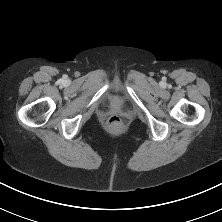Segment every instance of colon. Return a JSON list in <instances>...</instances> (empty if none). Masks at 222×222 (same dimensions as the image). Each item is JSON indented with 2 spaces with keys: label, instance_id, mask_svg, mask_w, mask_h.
Listing matches in <instances>:
<instances>
[{
  "label": "colon",
  "instance_id": "obj_1",
  "mask_svg": "<svg viewBox=\"0 0 222 222\" xmlns=\"http://www.w3.org/2000/svg\"><path fill=\"white\" fill-rule=\"evenodd\" d=\"M108 125L113 128H120L123 125V120L118 115H112L108 119Z\"/></svg>",
  "mask_w": 222,
  "mask_h": 222
}]
</instances>
